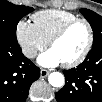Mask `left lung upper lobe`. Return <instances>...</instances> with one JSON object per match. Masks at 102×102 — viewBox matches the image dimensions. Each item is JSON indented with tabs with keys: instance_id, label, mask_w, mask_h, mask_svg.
<instances>
[{
	"instance_id": "left-lung-upper-lobe-1",
	"label": "left lung upper lobe",
	"mask_w": 102,
	"mask_h": 102,
	"mask_svg": "<svg viewBox=\"0 0 102 102\" xmlns=\"http://www.w3.org/2000/svg\"><path fill=\"white\" fill-rule=\"evenodd\" d=\"M80 12L88 20L93 29L94 39L92 47L102 45V17L97 13L85 8L80 9Z\"/></svg>"
}]
</instances>
